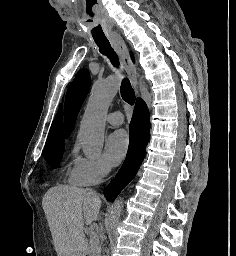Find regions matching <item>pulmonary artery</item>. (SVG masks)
Listing matches in <instances>:
<instances>
[{
  "label": "pulmonary artery",
  "mask_w": 236,
  "mask_h": 256,
  "mask_svg": "<svg viewBox=\"0 0 236 256\" xmlns=\"http://www.w3.org/2000/svg\"><path fill=\"white\" fill-rule=\"evenodd\" d=\"M106 120L114 126H119L123 123V116L120 112H112L106 115Z\"/></svg>",
  "instance_id": "1"
}]
</instances>
